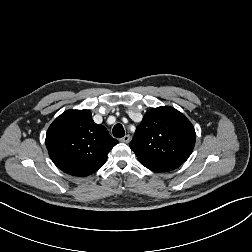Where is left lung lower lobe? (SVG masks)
Wrapping results in <instances>:
<instances>
[{"instance_id": "left-lung-lower-lobe-1", "label": "left lung lower lobe", "mask_w": 252, "mask_h": 252, "mask_svg": "<svg viewBox=\"0 0 252 252\" xmlns=\"http://www.w3.org/2000/svg\"><path fill=\"white\" fill-rule=\"evenodd\" d=\"M181 164L182 163L178 161H157L143 165L155 172H166L179 167Z\"/></svg>"}]
</instances>
